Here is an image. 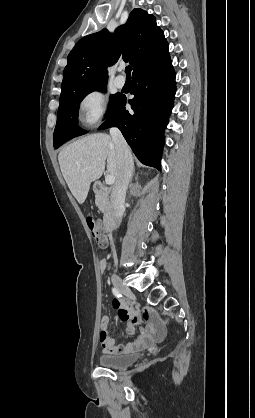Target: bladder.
<instances>
[{"mask_svg": "<svg viewBox=\"0 0 255 418\" xmlns=\"http://www.w3.org/2000/svg\"><path fill=\"white\" fill-rule=\"evenodd\" d=\"M139 356V353L102 355L99 357V363L105 368L122 369L135 363L139 359Z\"/></svg>", "mask_w": 255, "mask_h": 418, "instance_id": "bladder-1", "label": "bladder"}]
</instances>
